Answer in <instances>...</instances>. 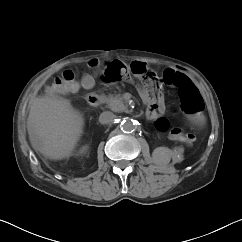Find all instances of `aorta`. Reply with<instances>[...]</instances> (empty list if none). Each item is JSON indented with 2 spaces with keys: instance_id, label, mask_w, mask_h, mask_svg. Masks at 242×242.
Here are the masks:
<instances>
[{
  "instance_id": "obj_1",
  "label": "aorta",
  "mask_w": 242,
  "mask_h": 242,
  "mask_svg": "<svg viewBox=\"0 0 242 242\" xmlns=\"http://www.w3.org/2000/svg\"><path fill=\"white\" fill-rule=\"evenodd\" d=\"M121 129L125 132H132L136 129V122L132 119H126L121 122Z\"/></svg>"
}]
</instances>
